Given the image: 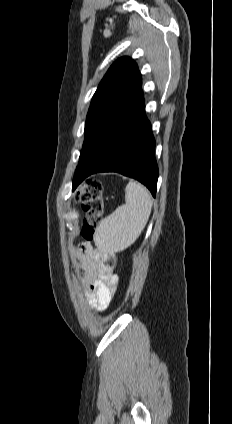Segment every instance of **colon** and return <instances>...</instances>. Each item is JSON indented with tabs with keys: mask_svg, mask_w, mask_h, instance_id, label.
<instances>
[{
	"mask_svg": "<svg viewBox=\"0 0 232 424\" xmlns=\"http://www.w3.org/2000/svg\"><path fill=\"white\" fill-rule=\"evenodd\" d=\"M103 186L98 180H88L75 194V201L84 211L81 237L91 240L104 213Z\"/></svg>",
	"mask_w": 232,
	"mask_h": 424,
	"instance_id": "obj_1",
	"label": "colon"
}]
</instances>
